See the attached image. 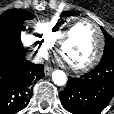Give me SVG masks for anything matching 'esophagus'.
<instances>
[{
    "mask_svg": "<svg viewBox=\"0 0 114 114\" xmlns=\"http://www.w3.org/2000/svg\"><path fill=\"white\" fill-rule=\"evenodd\" d=\"M52 71H53V68H52V67H50V66H48V65H46V66L44 67V73H45V75L51 74Z\"/></svg>",
    "mask_w": 114,
    "mask_h": 114,
    "instance_id": "34e87169",
    "label": "esophagus"
}]
</instances>
